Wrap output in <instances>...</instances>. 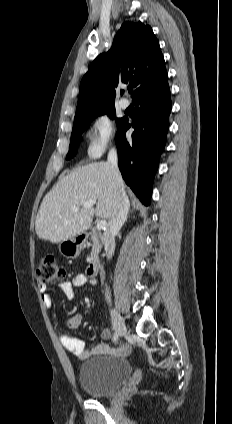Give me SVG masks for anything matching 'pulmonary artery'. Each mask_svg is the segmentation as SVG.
<instances>
[{
  "label": "pulmonary artery",
  "instance_id": "e3ab8cb5",
  "mask_svg": "<svg viewBox=\"0 0 232 424\" xmlns=\"http://www.w3.org/2000/svg\"><path fill=\"white\" fill-rule=\"evenodd\" d=\"M119 105L122 109H127L130 105V102L127 98H121L119 101Z\"/></svg>",
  "mask_w": 232,
  "mask_h": 424
}]
</instances>
